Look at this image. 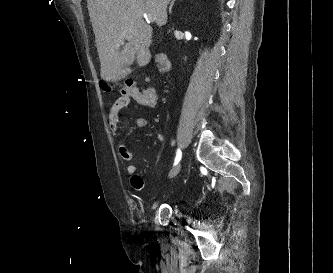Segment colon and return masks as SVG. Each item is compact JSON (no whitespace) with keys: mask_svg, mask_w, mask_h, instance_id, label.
Wrapping results in <instances>:
<instances>
[{"mask_svg":"<svg viewBox=\"0 0 333 273\" xmlns=\"http://www.w3.org/2000/svg\"><path fill=\"white\" fill-rule=\"evenodd\" d=\"M155 68L161 73L167 72L169 70L170 63L166 55L162 53L155 55ZM102 88L106 91L111 90V86L107 83H103ZM118 90L122 96H132L135 94L137 87L132 80H127L118 86Z\"/></svg>","mask_w":333,"mask_h":273,"instance_id":"1","label":"colon"}]
</instances>
